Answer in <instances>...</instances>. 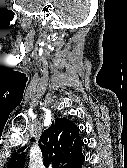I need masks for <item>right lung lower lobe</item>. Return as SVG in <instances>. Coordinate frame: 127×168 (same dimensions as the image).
<instances>
[{"label":"right lung lower lobe","instance_id":"obj_1","mask_svg":"<svg viewBox=\"0 0 127 168\" xmlns=\"http://www.w3.org/2000/svg\"><path fill=\"white\" fill-rule=\"evenodd\" d=\"M83 162H84V158L77 165H75L73 168H82Z\"/></svg>","mask_w":127,"mask_h":168}]
</instances>
